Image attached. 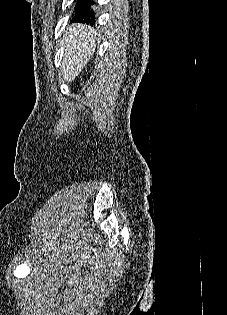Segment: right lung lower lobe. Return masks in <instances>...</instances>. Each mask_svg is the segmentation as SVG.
Masks as SVG:
<instances>
[{
    "mask_svg": "<svg viewBox=\"0 0 227 315\" xmlns=\"http://www.w3.org/2000/svg\"><path fill=\"white\" fill-rule=\"evenodd\" d=\"M91 0H76L75 15L72 19L73 22H90L94 20V12L91 9Z\"/></svg>",
    "mask_w": 227,
    "mask_h": 315,
    "instance_id": "98d812e1",
    "label": "right lung lower lobe"
}]
</instances>
